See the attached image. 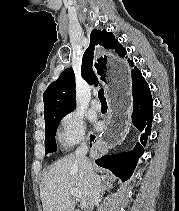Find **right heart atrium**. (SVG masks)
Listing matches in <instances>:
<instances>
[{
    "instance_id": "right-heart-atrium-1",
    "label": "right heart atrium",
    "mask_w": 179,
    "mask_h": 211,
    "mask_svg": "<svg viewBox=\"0 0 179 211\" xmlns=\"http://www.w3.org/2000/svg\"><path fill=\"white\" fill-rule=\"evenodd\" d=\"M57 140L65 150L73 148L86 140V123L83 116L77 111L65 114L57 129Z\"/></svg>"
}]
</instances>
